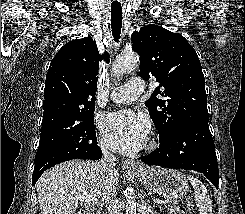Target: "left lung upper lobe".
Listing matches in <instances>:
<instances>
[{
	"instance_id": "left-lung-upper-lobe-1",
	"label": "left lung upper lobe",
	"mask_w": 245,
	"mask_h": 214,
	"mask_svg": "<svg viewBox=\"0 0 245 214\" xmlns=\"http://www.w3.org/2000/svg\"><path fill=\"white\" fill-rule=\"evenodd\" d=\"M131 40L141 58V77L160 83L146 102L160 142H167L189 124L208 123L205 78L188 41L158 25L142 27Z\"/></svg>"
}]
</instances>
